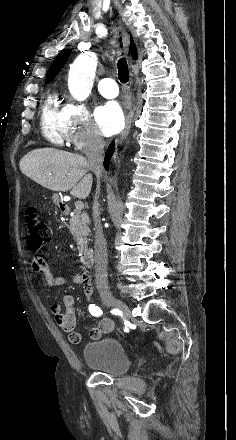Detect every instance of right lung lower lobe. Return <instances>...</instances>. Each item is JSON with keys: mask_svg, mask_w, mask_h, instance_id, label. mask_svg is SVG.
<instances>
[{"mask_svg": "<svg viewBox=\"0 0 236 440\" xmlns=\"http://www.w3.org/2000/svg\"><path fill=\"white\" fill-rule=\"evenodd\" d=\"M114 147H115L114 143H111V144L109 145L108 150H107V153H106V155H105V158H104V167H105L106 169H108L110 159H111V157H112V154L114 153Z\"/></svg>", "mask_w": 236, "mask_h": 440, "instance_id": "1", "label": "right lung lower lobe"}]
</instances>
